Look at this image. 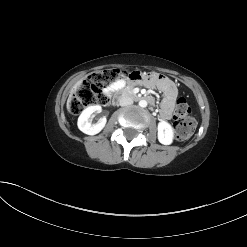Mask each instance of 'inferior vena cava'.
I'll return each instance as SVG.
<instances>
[{
    "instance_id": "1",
    "label": "inferior vena cava",
    "mask_w": 247,
    "mask_h": 247,
    "mask_svg": "<svg viewBox=\"0 0 247 247\" xmlns=\"http://www.w3.org/2000/svg\"><path fill=\"white\" fill-rule=\"evenodd\" d=\"M133 104V99L127 95V94H123L121 95V97L119 98V105L120 106H128Z\"/></svg>"
}]
</instances>
